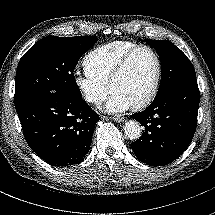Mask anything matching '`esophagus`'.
Instances as JSON below:
<instances>
[{"label":"esophagus","instance_id":"esophagus-1","mask_svg":"<svg viewBox=\"0 0 215 215\" xmlns=\"http://www.w3.org/2000/svg\"><path fill=\"white\" fill-rule=\"evenodd\" d=\"M125 120L124 117H117V118H114L113 121L114 122H117V123H120V122H123Z\"/></svg>","mask_w":215,"mask_h":215}]
</instances>
